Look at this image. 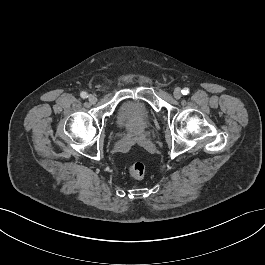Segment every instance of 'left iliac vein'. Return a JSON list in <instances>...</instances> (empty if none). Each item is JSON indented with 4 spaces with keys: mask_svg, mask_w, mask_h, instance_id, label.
Wrapping results in <instances>:
<instances>
[{
    "mask_svg": "<svg viewBox=\"0 0 265 265\" xmlns=\"http://www.w3.org/2000/svg\"><path fill=\"white\" fill-rule=\"evenodd\" d=\"M173 95L176 99H180L182 94H181V89L180 88H175Z\"/></svg>",
    "mask_w": 265,
    "mask_h": 265,
    "instance_id": "obj_1",
    "label": "left iliac vein"
}]
</instances>
